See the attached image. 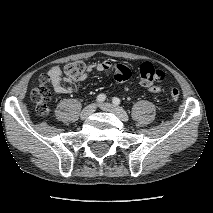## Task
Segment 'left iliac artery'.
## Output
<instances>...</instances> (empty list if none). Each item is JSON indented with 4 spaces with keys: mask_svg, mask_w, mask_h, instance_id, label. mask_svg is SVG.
<instances>
[{
    "mask_svg": "<svg viewBox=\"0 0 213 213\" xmlns=\"http://www.w3.org/2000/svg\"><path fill=\"white\" fill-rule=\"evenodd\" d=\"M112 101H113V103H114L115 105H119L120 102H121L120 99L117 98V97H114Z\"/></svg>",
    "mask_w": 213,
    "mask_h": 213,
    "instance_id": "1",
    "label": "left iliac artery"
}]
</instances>
